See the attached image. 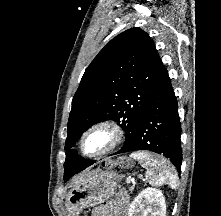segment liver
<instances>
[{
    "label": "liver",
    "mask_w": 221,
    "mask_h": 216,
    "mask_svg": "<svg viewBox=\"0 0 221 216\" xmlns=\"http://www.w3.org/2000/svg\"><path fill=\"white\" fill-rule=\"evenodd\" d=\"M89 172L85 173L84 175H82L80 178H78L80 181H82L84 179V177L88 174Z\"/></svg>",
    "instance_id": "1"
}]
</instances>
